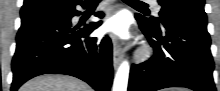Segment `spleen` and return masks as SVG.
Here are the masks:
<instances>
[{
	"label": "spleen",
	"instance_id": "spleen-1",
	"mask_svg": "<svg viewBox=\"0 0 220 91\" xmlns=\"http://www.w3.org/2000/svg\"><path fill=\"white\" fill-rule=\"evenodd\" d=\"M172 91H184V90H172Z\"/></svg>",
	"mask_w": 220,
	"mask_h": 91
}]
</instances>
